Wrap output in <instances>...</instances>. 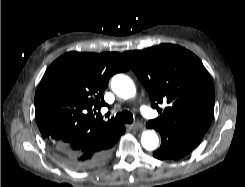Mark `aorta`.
Segmentation results:
<instances>
[{
    "mask_svg": "<svg viewBox=\"0 0 245 187\" xmlns=\"http://www.w3.org/2000/svg\"><path fill=\"white\" fill-rule=\"evenodd\" d=\"M111 88L116 95L124 99L132 98L136 93L133 81L123 74H117L112 78ZM158 143L159 139L155 131L146 130L142 133L141 144L146 150L156 149Z\"/></svg>",
    "mask_w": 245,
    "mask_h": 187,
    "instance_id": "762f6f07",
    "label": "aorta"
}]
</instances>
